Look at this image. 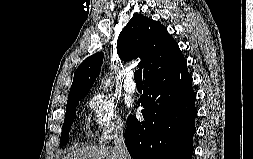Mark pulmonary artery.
Returning a JSON list of instances; mask_svg holds the SVG:
<instances>
[{
    "label": "pulmonary artery",
    "instance_id": "obj_1",
    "mask_svg": "<svg viewBox=\"0 0 253 159\" xmlns=\"http://www.w3.org/2000/svg\"><path fill=\"white\" fill-rule=\"evenodd\" d=\"M133 78H134L133 72L130 71L126 73V78L124 81V90L129 94H133L137 90L136 84L133 82Z\"/></svg>",
    "mask_w": 253,
    "mask_h": 159
}]
</instances>
